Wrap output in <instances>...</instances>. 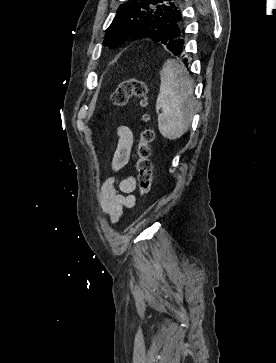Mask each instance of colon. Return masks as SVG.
I'll return each instance as SVG.
<instances>
[{"label": "colon", "mask_w": 276, "mask_h": 363, "mask_svg": "<svg viewBox=\"0 0 276 363\" xmlns=\"http://www.w3.org/2000/svg\"><path fill=\"white\" fill-rule=\"evenodd\" d=\"M148 88L145 81L140 79H129L121 82L111 96L114 106H125L131 97L139 99L141 106L146 105ZM143 122L148 121V116H142ZM154 140L153 130L145 126L139 135L135 150V164L139 182V192L146 196L152 189L153 170L151 157V143Z\"/></svg>", "instance_id": "1"}]
</instances>
